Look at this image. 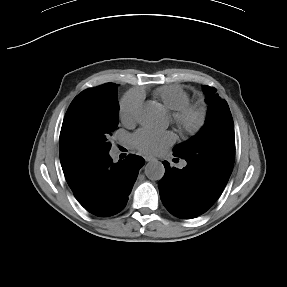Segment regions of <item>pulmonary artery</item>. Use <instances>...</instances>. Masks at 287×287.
Segmentation results:
<instances>
[{
    "mask_svg": "<svg viewBox=\"0 0 287 287\" xmlns=\"http://www.w3.org/2000/svg\"><path fill=\"white\" fill-rule=\"evenodd\" d=\"M186 165H187V163L184 161V162L181 163L180 166H181V167H184V166H186Z\"/></svg>",
    "mask_w": 287,
    "mask_h": 287,
    "instance_id": "pulmonary-artery-1",
    "label": "pulmonary artery"
}]
</instances>
